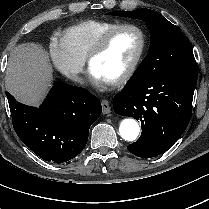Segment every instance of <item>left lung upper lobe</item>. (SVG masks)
Listing matches in <instances>:
<instances>
[{
  "instance_id": "obj_1",
  "label": "left lung upper lobe",
  "mask_w": 209,
  "mask_h": 209,
  "mask_svg": "<svg viewBox=\"0 0 209 209\" xmlns=\"http://www.w3.org/2000/svg\"><path fill=\"white\" fill-rule=\"evenodd\" d=\"M109 14L140 19L150 31L151 44L148 54L134 74L140 77H157L187 64L196 63L182 31L155 11L138 9Z\"/></svg>"
}]
</instances>
